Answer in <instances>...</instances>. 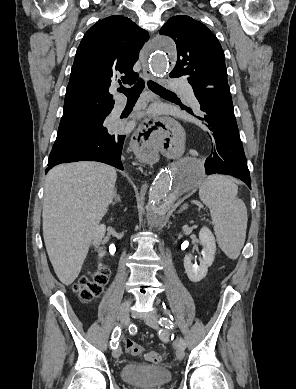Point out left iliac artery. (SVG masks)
<instances>
[{
  "instance_id": "1",
  "label": "left iliac artery",
  "mask_w": 296,
  "mask_h": 389,
  "mask_svg": "<svg viewBox=\"0 0 296 389\" xmlns=\"http://www.w3.org/2000/svg\"><path fill=\"white\" fill-rule=\"evenodd\" d=\"M159 324L161 326H164L165 328H168V329H172L174 327V324L170 320L165 319L164 317L160 318ZM178 344H180L184 348L186 346L185 341L181 337L178 340Z\"/></svg>"
}]
</instances>
